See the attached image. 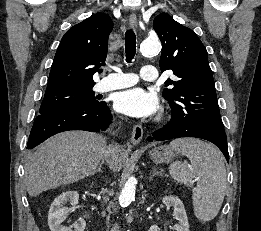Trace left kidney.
Segmentation results:
<instances>
[{"label":"left kidney","mask_w":261,"mask_h":231,"mask_svg":"<svg viewBox=\"0 0 261 231\" xmlns=\"http://www.w3.org/2000/svg\"><path fill=\"white\" fill-rule=\"evenodd\" d=\"M162 202L166 205L167 210L173 207V217L179 221V224L175 225L176 231H189V223L187 214L182 201L173 195L165 196L162 198ZM149 231H160L157 225H152Z\"/></svg>","instance_id":"obj_1"}]
</instances>
